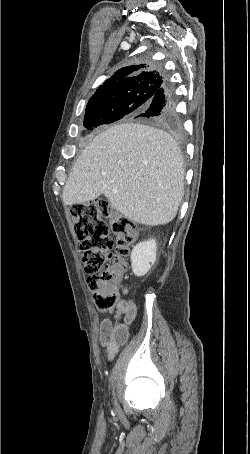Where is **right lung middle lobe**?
Here are the masks:
<instances>
[{"mask_svg": "<svg viewBox=\"0 0 250 454\" xmlns=\"http://www.w3.org/2000/svg\"><path fill=\"white\" fill-rule=\"evenodd\" d=\"M160 90L155 85L138 86L120 98H103L88 103L83 125L92 130L104 124H110L124 117L147 120L155 124H162L153 117H143L142 113L149 107L152 98Z\"/></svg>", "mask_w": 250, "mask_h": 454, "instance_id": "right-lung-middle-lobe-1", "label": "right lung middle lobe"}]
</instances>
